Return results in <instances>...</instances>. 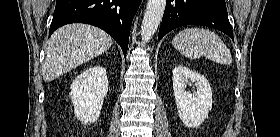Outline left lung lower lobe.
I'll list each match as a JSON object with an SVG mask.
<instances>
[{
	"instance_id": "obj_1",
	"label": "left lung lower lobe",
	"mask_w": 280,
	"mask_h": 137,
	"mask_svg": "<svg viewBox=\"0 0 280 137\" xmlns=\"http://www.w3.org/2000/svg\"><path fill=\"white\" fill-rule=\"evenodd\" d=\"M183 25L213 27L233 39L225 0H167L158 40Z\"/></svg>"
}]
</instances>
